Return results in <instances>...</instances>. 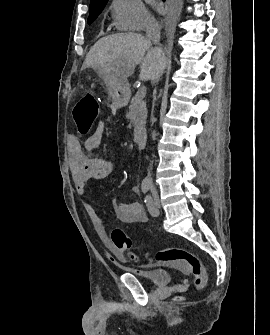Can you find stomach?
<instances>
[{"mask_svg":"<svg viewBox=\"0 0 270 335\" xmlns=\"http://www.w3.org/2000/svg\"><path fill=\"white\" fill-rule=\"evenodd\" d=\"M103 81L106 82V90L112 104L123 108L129 102L130 90L128 84H123L114 77V70L111 67H102Z\"/></svg>","mask_w":270,"mask_h":335,"instance_id":"0dacf381","label":"stomach"}]
</instances>
